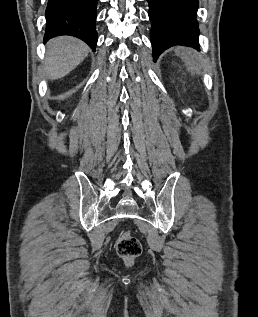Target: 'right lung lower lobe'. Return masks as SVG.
<instances>
[{"mask_svg":"<svg viewBox=\"0 0 258 317\" xmlns=\"http://www.w3.org/2000/svg\"><path fill=\"white\" fill-rule=\"evenodd\" d=\"M98 0H49L45 12L44 41L70 35L86 42L93 51L97 44L95 29Z\"/></svg>","mask_w":258,"mask_h":317,"instance_id":"obj_1","label":"right lung lower lobe"}]
</instances>
